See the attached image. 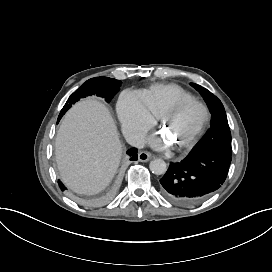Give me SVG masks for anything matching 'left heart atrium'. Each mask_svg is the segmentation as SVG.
Segmentation results:
<instances>
[{
	"label": "left heart atrium",
	"instance_id": "1",
	"mask_svg": "<svg viewBox=\"0 0 272 272\" xmlns=\"http://www.w3.org/2000/svg\"><path fill=\"white\" fill-rule=\"evenodd\" d=\"M152 144L156 148H164L166 146V141L164 139H160V138H153Z\"/></svg>",
	"mask_w": 272,
	"mask_h": 272
}]
</instances>
